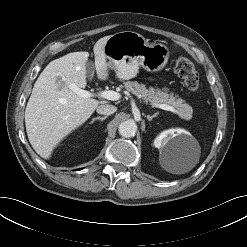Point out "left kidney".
I'll return each instance as SVG.
<instances>
[{"instance_id":"left-kidney-1","label":"left kidney","mask_w":247,"mask_h":247,"mask_svg":"<svg viewBox=\"0 0 247 247\" xmlns=\"http://www.w3.org/2000/svg\"><path fill=\"white\" fill-rule=\"evenodd\" d=\"M195 142L189 132L183 129H169L162 132L154 141L156 148L160 153L173 161H185L186 153Z\"/></svg>"}]
</instances>
